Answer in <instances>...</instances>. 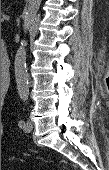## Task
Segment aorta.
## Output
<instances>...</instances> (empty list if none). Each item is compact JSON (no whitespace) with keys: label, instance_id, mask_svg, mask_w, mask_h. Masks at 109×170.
Segmentation results:
<instances>
[{"label":"aorta","instance_id":"obj_1","mask_svg":"<svg viewBox=\"0 0 109 170\" xmlns=\"http://www.w3.org/2000/svg\"><path fill=\"white\" fill-rule=\"evenodd\" d=\"M42 0H27L28 6L25 10L23 31L26 34L33 24ZM26 41L22 40L15 55L14 70L17 90L22 101H26L29 95L28 74L26 69Z\"/></svg>","mask_w":109,"mask_h":170}]
</instances>
